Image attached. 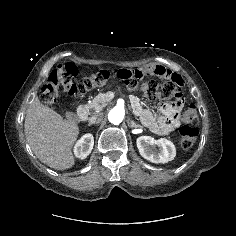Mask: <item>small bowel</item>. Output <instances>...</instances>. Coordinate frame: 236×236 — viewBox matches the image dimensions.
Listing matches in <instances>:
<instances>
[{
	"mask_svg": "<svg viewBox=\"0 0 236 236\" xmlns=\"http://www.w3.org/2000/svg\"><path fill=\"white\" fill-rule=\"evenodd\" d=\"M113 75L119 82L128 87H136L138 81L142 80L145 75L169 77L176 84H182V79L178 75L172 74L162 66H148L144 69H127L118 67L114 70ZM132 108L147 127L159 134L166 135L172 133L177 126V121L175 119L177 108L168 104L162 106L161 110L163 116L159 118H155L150 111L143 109L136 98L132 99Z\"/></svg>",
	"mask_w": 236,
	"mask_h": 236,
	"instance_id": "obj_1",
	"label": "small bowel"
}]
</instances>
